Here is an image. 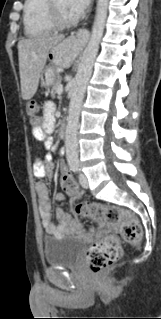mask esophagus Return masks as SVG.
Returning a JSON list of instances; mask_svg holds the SVG:
<instances>
[{
	"label": "esophagus",
	"mask_w": 161,
	"mask_h": 319,
	"mask_svg": "<svg viewBox=\"0 0 161 319\" xmlns=\"http://www.w3.org/2000/svg\"><path fill=\"white\" fill-rule=\"evenodd\" d=\"M71 37L76 38L80 43H86L89 38V31L86 28H80L76 32H72Z\"/></svg>",
	"instance_id": "1"
}]
</instances>
